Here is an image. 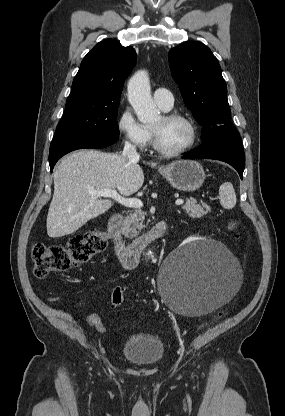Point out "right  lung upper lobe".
Returning a JSON list of instances; mask_svg holds the SVG:
<instances>
[{
    "label": "right lung upper lobe",
    "instance_id": "obj_1",
    "mask_svg": "<svg viewBox=\"0 0 285 416\" xmlns=\"http://www.w3.org/2000/svg\"><path fill=\"white\" fill-rule=\"evenodd\" d=\"M136 63V52L114 39L99 42L84 57L69 97L81 100L120 99L124 80Z\"/></svg>",
    "mask_w": 285,
    "mask_h": 416
}]
</instances>
